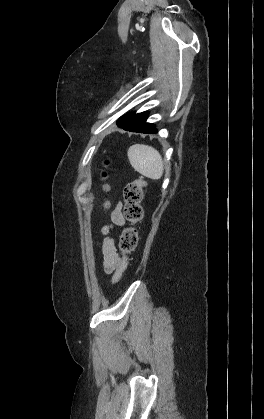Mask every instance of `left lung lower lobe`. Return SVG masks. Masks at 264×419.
<instances>
[{
	"label": "left lung lower lobe",
	"instance_id": "0a47b994",
	"mask_svg": "<svg viewBox=\"0 0 264 419\" xmlns=\"http://www.w3.org/2000/svg\"><path fill=\"white\" fill-rule=\"evenodd\" d=\"M148 117L147 112L139 114H129L125 118L117 122L118 127L131 132L141 133H156L155 126L150 123H146Z\"/></svg>",
	"mask_w": 264,
	"mask_h": 419
}]
</instances>
